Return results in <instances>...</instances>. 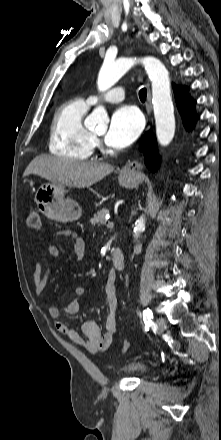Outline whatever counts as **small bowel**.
<instances>
[{"label": "small bowel", "mask_w": 221, "mask_h": 440, "mask_svg": "<svg viewBox=\"0 0 221 440\" xmlns=\"http://www.w3.org/2000/svg\"><path fill=\"white\" fill-rule=\"evenodd\" d=\"M71 237L74 239V256L76 261H82L86 255V243L76 232L65 229L54 234V237ZM60 257V250L56 245H50L47 254L42 257L37 264L33 274L34 290L37 294L43 292L45 284L52 274L53 264ZM107 305V316L105 319V332L101 333L97 324L92 320H87L82 324V334L80 335L68 323L59 319L60 312L55 306L49 308L48 312L55 320L57 330L67 336L73 343L82 346L90 353L104 351L111 345L117 331V308L118 297L116 288V277L113 272H109L101 284ZM89 290L83 286L74 289V297L65 306V314L72 316L78 313L80 299Z\"/></svg>", "instance_id": "small-bowel-1"}]
</instances>
